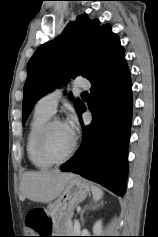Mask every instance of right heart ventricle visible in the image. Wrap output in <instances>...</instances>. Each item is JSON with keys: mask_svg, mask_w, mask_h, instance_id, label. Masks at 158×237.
<instances>
[{"mask_svg": "<svg viewBox=\"0 0 158 237\" xmlns=\"http://www.w3.org/2000/svg\"><path fill=\"white\" fill-rule=\"evenodd\" d=\"M52 114L35 107L32 120L26 138V151L30 162L38 169H47L52 164L44 160L37 151V137L45 125L50 120Z\"/></svg>", "mask_w": 158, "mask_h": 237, "instance_id": "obj_1", "label": "right heart ventricle"}]
</instances>
